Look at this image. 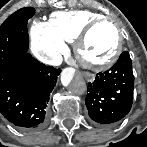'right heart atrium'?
<instances>
[{
    "label": "right heart atrium",
    "instance_id": "obj_1",
    "mask_svg": "<svg viewBox=\"0 0 147 147\" xmlns=\"http://www.w3.org/2000/svg\"><path fill=\"white\" fill-rule=\"evenodd\" d=\"M34 51L39 57L46 56L50 61L53 60L59 49L60 45L54 41L48 40L43 34L37 33L35 36Z\"/></svg>",
    "mask_w": 147,
    "mask_h": 147
}]
</instances>
